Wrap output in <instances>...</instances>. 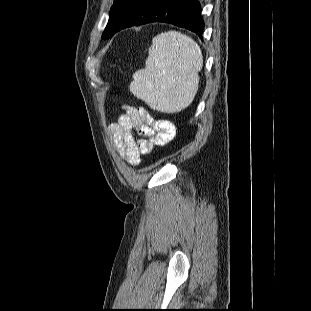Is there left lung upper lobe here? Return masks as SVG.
I'll use <instances>...</instances> for the list:
<instances>
[{"instance_id": "left-lung-upper-lobe-1", "label": "left lung upper lobe", "mask_w": 311, "mask_h": 311, "mask_svg": "<svg viewBox=\"0 0 311 311\" xmlns=\"http://www.w3.org/2000/svg\"><path fill=\"white\" fill-rule=\"evenodd\" d=\"M126 2L127 0H114V4L110 10L108 24L102 34L103 39L109 38L110 35L112 34L118 13Z\"/></svg>"}]
</instances>
